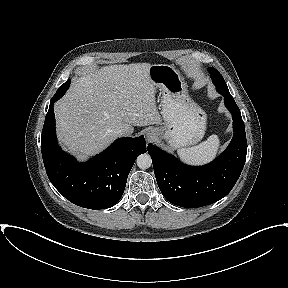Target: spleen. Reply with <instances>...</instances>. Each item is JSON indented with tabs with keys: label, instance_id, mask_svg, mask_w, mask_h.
<instances>
[{
	"label": "spleen",
	"instance_id": "3e777b00",
	"mask_svg": "<svg viewBox=\"0 0 288 288\" xmlns=\"http://www.w3.org/2000/svg\"><path fill=\"white\" fill-rule=\"evenodd\" d=\"M220 145V140L217 135H211L206 141L201 144L181 148L177 151L181 160L192 165H201L213 160L217 154Z\"/></svg>",
	"mask_w": 288,
	"mask_h": 288
}]
</instances>
